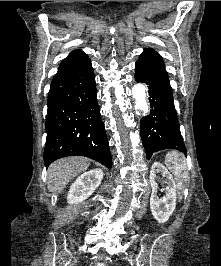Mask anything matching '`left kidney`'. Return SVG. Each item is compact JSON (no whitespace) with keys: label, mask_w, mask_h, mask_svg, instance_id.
I'll return each mask as SVG.
<instances>
[{"label":"left kidney","mask_w":221,"mask_h":266,"mask_svg":"<svg viewBox=\"0 0 221 266\" xmlns=\"http://www.w3.org/2000/svg\"><path fill=\"white\" fill-rule=\"evenodd\" d=\"M157 173L162 174L166 183V195L162 199L157 195L158 186L155 182ZM149 178L152 187L150 197V209L152 215L159 223H165L175 210L176 206L177 193L175 181L169 171L160 162H154L151 167Z\"/></svg>","instance_id":"left-kidney-1"}]
</instances>
